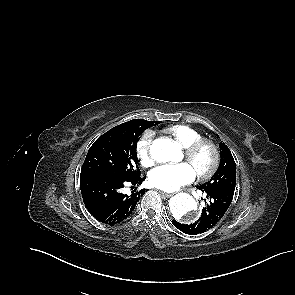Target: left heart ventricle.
<instances>
[{
  "mask_svg": "<svg viewBox=\"0 0 295 295\" xmlns=\"http://www.w3.org/2000/svg\"><path fill=\"white\" fill-rule=\"evenodd\" d=\"M187 162L193 167L195 172L207 169L212 162V153L208 148H203L194 158Z\"/></svg>",
  "mask_w": 295,
  "mask_h": 295,
  "instance_id": "1",
  "label": "left heart ventricle"
}]
</instances>
